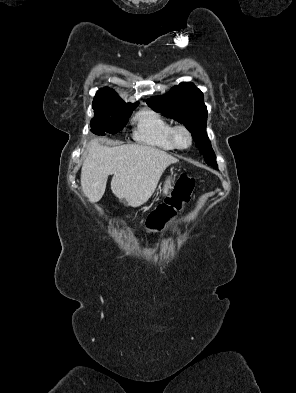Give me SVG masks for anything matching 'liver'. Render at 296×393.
<instances>
[{"instance_id":"obj_1","label":"liver","mask_w":296,"mask_h":393,"mask_svg":"<svg viewBox=\"0 0 296 393\" xmlns=\"http://www.w3.org/2000/svg\"><path fill=\"white\" fill-rule=\"evenodd\" d=\"M178 159L156 147L131 144L107 147L94 139L81 169V187L90 202H98L113 175L111 190L129 206L139 207L153 195L164 170Z\"/></svg>"}]
</instances>
